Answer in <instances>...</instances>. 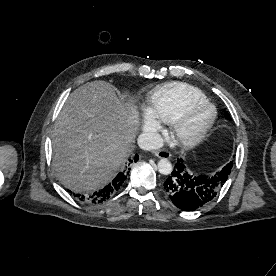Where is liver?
Here are the masks:
<instances>
[{
  "instance_id": "1",
  "label": "liver",
  "mask_w": 276,
  "mask_h": 276,
  "mask_svg": "<svg viewBox=\"0 0 276 276\" xmlns=\"http://www.w3.org/2000/svg\"><path fill=\"white\" fill-rule=\"evenodd\" d=\"M139 113L112 85L88 82L67 98L52 135L53 166L62 184L77 193L109 182L133 149Z\"/></svg>"
}]
</instances>
